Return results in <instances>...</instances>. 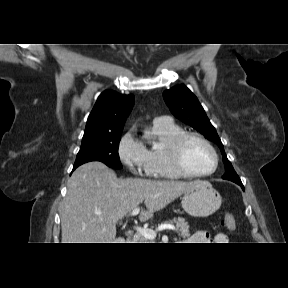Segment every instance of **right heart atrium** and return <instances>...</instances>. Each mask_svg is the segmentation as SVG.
I'll list each match as a JSON object with an SVG mask.
<instances>
[{
    "mask_svg": "<svg viewBox=\"0 0 288 288\" xmlns=\"http://www.w3.org/2000/svg\"><path fill=\"white\" fill-rule=\"evenodd\" d=\"M118 156L121 163L133 174L150 176L147 169V149L130 130L126 132L118 143Z\"/></svg>",
    "mask_w": 288,
    "mask_h": 288,
    "instance_id": "1",
    "label": "right heart atrium"
}]
</instances>
